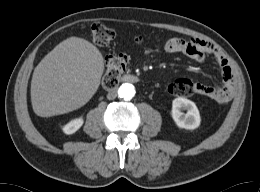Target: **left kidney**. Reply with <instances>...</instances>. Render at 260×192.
<instances>
[{
    "instance_id": "1",
    "label": "left kidney",
    "mask_w": 260,
    "mask_h": 192,
    "mask_svg": "<svg viewBox=\"0 0 260 192\" xmlns=\"http://www.w3.org/2000/svg\"><path fill=\"white\" fill-rule=\"evenodd\" d=\"M181 110H187L183 113ZM172 118L179 128L194 130L199 127L201 118L200 113L194 102L178 97L172 101Z\"/></svg>"
}]
</instances>
